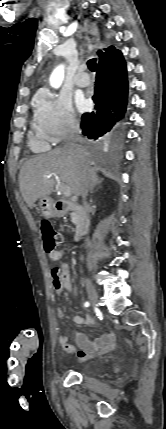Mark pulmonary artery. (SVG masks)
I'll list each match as a JSON object with an SVG mask.
<instances>
[{
  "label": "pulmonary artery",
  "instance_id": "pulmonary-artery-1",
  "mask_svg": "<svg viewBox=\"0 0 166 429\" xmlns=\"http://www.w3.org/2000/svg\"><path fill=\"white\" fill-rule=\"evenodd\" d=\"M85 69H86V67L84 65L80 66L78 69L77 76L75 77V80H74L75 84L78 87H86L90 83L89 78H88L87 74L85 73Z\"/></svg>",
  "mask_w": 166,
  "mask_h": 429
}]
</instances>
